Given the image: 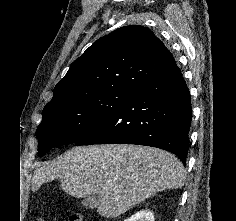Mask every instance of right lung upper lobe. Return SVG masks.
<instances>
[{
    "mask_svg": "<svg viewBox=\"0 0 236 221\" xmlns=\"http://www.w3.org/2000/svg\"><path fill=\"white\" fill-rule=\"evenodd\" d=\"M174 64L171 52L150 29L124 26L96 40L71 64L45 107L113 89L137 91Z\"/></svg>",
    "mask_w": 236,
    "mask_h": 221,
    "instance_id": "obj_1",
    "label": "right lung upper lobe"
}]
</instances>
